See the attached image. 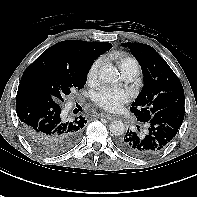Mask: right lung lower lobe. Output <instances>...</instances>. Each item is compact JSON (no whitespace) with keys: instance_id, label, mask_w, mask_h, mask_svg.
Instances as JSON below:
<instances>
[{"instance_id":"98d812e1","label":"right lung lower lobe","mask_w":197,"mask_h":197,"mask_svg":"<svg viewBox=\"0 0 197 197\" xmlns=\"http://www.w3.org/2000/svg\"><path fill=\"white\" fill-rule=\"evenodd\" d=\"M16 111L25 135L44 152L59 154L79 141L84 117L67 119L61 104L37 86L20 83Z\"/></svg>"}]
</instances>
